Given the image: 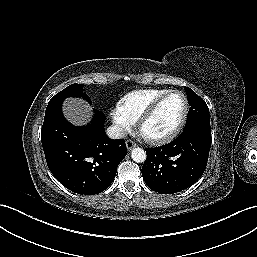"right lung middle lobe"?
<instances>
[{
  "label": "right lung middle lobe",
  "mask_w": 257,
  "mask_h": 257,
  "mask_svg": "<svg viewBox=\"0 0 257 257\" xmlns=\"http://www.w3.org/2000/svg\"><path fill=\"white\" fill-rule=\"evenodd\" d=\"M67 97H80L89 101V97L83 90V84H72L57 93L50 101L64 100Z\"/></svg>",
  "instance_id": "right-lung-middle-lobe-1"
}]
</instances>
